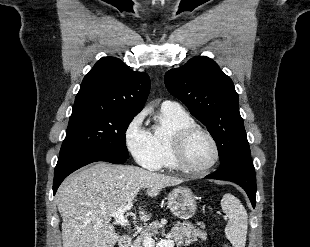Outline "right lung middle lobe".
I'll use <instances>...</instances> for the list:
<instances>
[{
	"label": "right lung middle lobe",
	"instance_id": "obj_1",
	"mask_svg": "<svg viewBox=\"0 0 310 247\" xmlns=\"http://www.w3.org/2000/svg\"><path fill=\"white\" fill-rule=\"evenodd\" d=\"M134 116L114 111H73L59 157L90 152L128 159L125 132Z\"/></svg>",
	"mask_w": 310,
	"mask_h": 247
}]
</instances>
